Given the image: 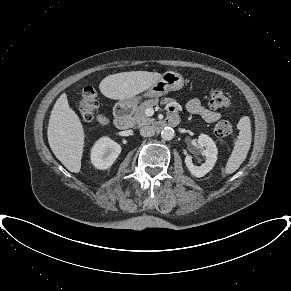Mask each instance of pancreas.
<instances>
[{"label":"pancreas","mask_w":291,"mask_h":291,"mask_svg":"<svg viewBox=\"0 0 291 291\" xmlns=\"http://www.w3.org/2000/svg\"><path fill=\"white\" fill-rule=\"evenodd\" d=\"M172 101H173V99H171V98H163L161 100V104H168ZM158 102H159V99H150V100H146L143 103H141L136 108L134 115L130 118L131 126L132 127L133 126L141 127V126H145V125H149V124L153 123L154 119L146 116L145 110L147 108L157 106Z\"/></svg>","instance_id":"obj_1"}]
</instances>
